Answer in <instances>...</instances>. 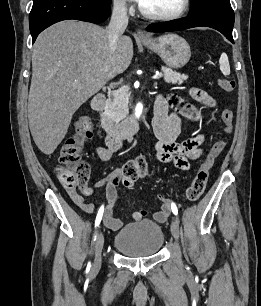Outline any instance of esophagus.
<instances>
[{
  "label": "esophagus",
  "instance_id": "1",
  "mask_svg": "<svg viewBox=\"0 0 261 306\" xmlns=\"http://www.w3.org/2000/svg\"><path fill=\"white\" fill-rule=\"evenodd\" d=\"M136 38L140 40H149L150 37L142 29H138L136 32Z\"/></svg>",
  "mask_w": 261,
  "mask_h": 306
}]
</instances>
